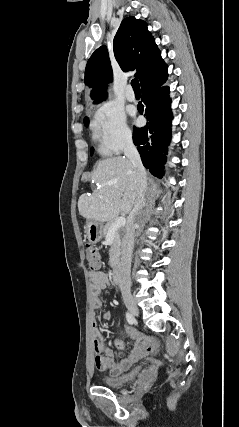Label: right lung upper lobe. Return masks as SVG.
Wrapping results in <instances>:
<instances>
[{"label": "right lung upper lobe", "mask_w": 239, "mask_h": 427, "mask_svg": "<svg viewBox=\"0 0 239 427\" xmlns=\"http://www.w3.org/2000/svg\"><path fill=\"white\" fill-rule=\"evenodd\" d=\"M115 58L123 71L136 69L141 86L167 71L147 24L133 16L125 18L114 37ZM112 69L106 46L98 48L88 60L85 83L93 88L92 99L99 103L106 97L105 84L111 81Z\"/></svg>", "instance_id": "obj_1"}]
</instances>
